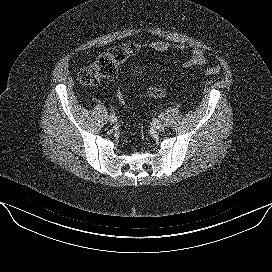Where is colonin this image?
Returning <instances> with one entry per match:
<instances>
[{
    "label": "colon",
    "mask_w": 272,
    "mask_h": 272,
    "mask_svg": "<svg viewBox=\"0 0 272 272\" xmlns=\"http://www.w3.org/2000/svg\"><path fill=\"white\" fill-rule=\"evenodd\" d=\"M139 50L140 45L136 43L113 47L99 54L92 64L81 68L78 72V80L84 85L93 86L104 78L113 77L119 64L135 55ZM220 71L221 69L218 66L209 67L205 70L207 74H217ZM146 92L154 98L164 97L168 94L166 89L159 87H148ZM117 97L121 103H124L122 92H118Z\"/></svg>",
    "instance_id": "5ec220e1"
}]
</instances>
